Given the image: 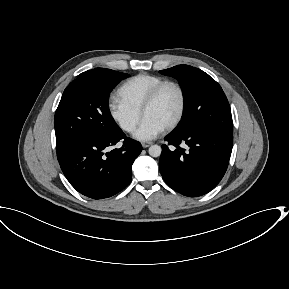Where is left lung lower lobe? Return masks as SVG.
<instances>
[{
  "label": "left lung lower lobe",
  "mask_w": 289,
  "mask_h": 289,
  "mask_svg": "<svg viewBox=\"0 0 289 289\" xmlns=\"http://www.w3.org/2000/svg\"><path fill=\"white\" fill-rule=\"evenodd\" d=\"M170 150L162 145L159 168L164 181L175 191L198 197L211 191L224 176L229 163L233 135L228 132L194 128L186 132L172 131L165 137ZM185 142V152L179 144Z\"/></svg>",
  "instance_id": "0a47b994"
}]
</instances>
